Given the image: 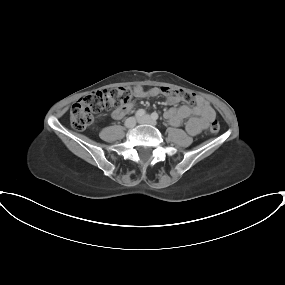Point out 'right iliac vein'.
Instances as JSON below:
<instances>
[{
	"label": "right iliac vein",
	"instance_id": "1",
	"mask_svg": "<svg viewBox=\"0 0 285 285\" xmlns=\"http://www.w3.org/2000/svg\"><path fill=\"white\" fill-rule=\"evenodd\" d=\"M136 123H137V118H135V117H130V118H128V119L126 120L125 126H126L127 128H133V127L136 125Z\"/></svg>",
	"mask_w": 285,
	"mask_h": 285
}]
</instances>
